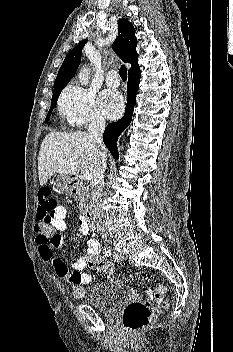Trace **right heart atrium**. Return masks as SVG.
Wrapping results in <instances>:
<instances>
[{"mask_svg": "<svg viewBox=\"0 0 233 352\" xmlns=\"http://www.w3.org/2000/svg\"><path fill=\"white\" fill-rule=\"evenodd\" d=\"M58 109L63 119L75 128L104 123V117L96 105L94 94L77 83H70L62 91Z\"/></svg>", "mask_w": 233, "mask_h": 352, "instance_id": "d8ad5b80", "label": "right heart atrium"}]
</instances>
